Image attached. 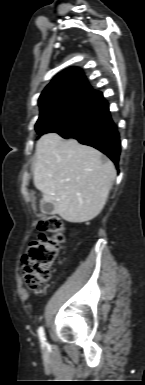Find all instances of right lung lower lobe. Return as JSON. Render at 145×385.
Masks as SVG:
<instances>
[{
    "mask_svg": "<svg viewBox=\"0 0 145 385\" xmlns=\"http://www.w3.org/2000/svg\"><path fill=\"white\" fill-rule=\"evenodd\" d=\"M56 133L100 150L118 166L121 149L119 133L102 95L88 110Z\"/></svg>",
    "mask_w": 145,
    "mask_h": 385,
    "instance_id": "right-lung-lower-lobe-1",
    "label": "right lung lower lobe"
}]
</instances>
